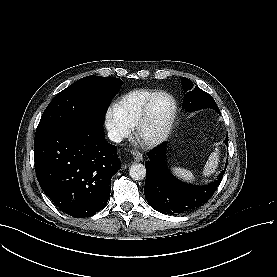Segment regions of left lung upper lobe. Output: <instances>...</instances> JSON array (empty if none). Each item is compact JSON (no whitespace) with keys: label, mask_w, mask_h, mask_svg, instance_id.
Masks as SVG:
<instances>
[{"label":"left lung upper lobe","mask_w":277,"mask_h":277,"mask_svg":"<svg viewBox=\"0 0 277 277\" xmlns=\"http://www.w3.org/2000/svg\"><path fill=\"white\" fill-rule=\"evenodd\" d=\"M182 83L184 90L187 92L184 97L183 108L189 112L203 108H212L220 113L215 100L210 94L197 86L193 88L192 82L185 77H182Z\"/></svg>","instance_id":"obj_1"}]
</instances>
